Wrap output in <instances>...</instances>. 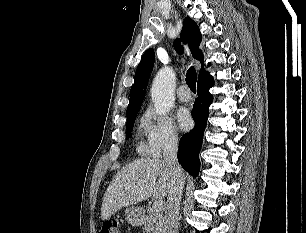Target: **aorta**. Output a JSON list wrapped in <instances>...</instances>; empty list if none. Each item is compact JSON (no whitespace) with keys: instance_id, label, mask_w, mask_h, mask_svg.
I'll use <instances>...</instances> for the list:
<instances>
[{"instance_id":"762f6f07","label":"aorta","mask_w":306,"mask_h":233,"mask_svg":"<svg viewBox=\"0 0 306 233\" xmlns=\"http://www.w3.org/2000/svg\"><path fill=\"white\" fill-rule=\"evenodd\" d=\"M175 73L171 67H163L154 78L151 97L157 114L168 113L174 105Z\"/></svg>"}]
</instances>
